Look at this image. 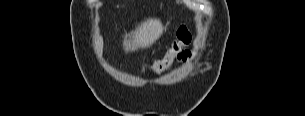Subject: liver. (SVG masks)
<instances>
[{
    "instance_id": "1",
    "label": "liver",
    "mask_w": 305,
    "mask_h": 116,
    "mask_svg": "<svg viewBox=\"0 0 305 116\" xmlns=\"http://www.w3.org/2000/svg\"><path fill=\"white\" fill-rule=\"evenodd\" d=\"M163 25L159 19L149 18L142 22L130 34H126L123 47L126 52L135 51L139 48L150 47L162 34ZM94 50L98 56L103 51V40L97 37L94 41Z\"/></svg>"
}]
</instances>
